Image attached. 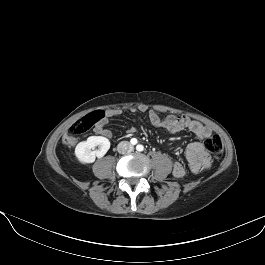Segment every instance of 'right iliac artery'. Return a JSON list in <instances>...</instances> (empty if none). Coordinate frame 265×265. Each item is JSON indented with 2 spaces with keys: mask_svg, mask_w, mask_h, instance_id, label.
Instances as JSON below:
<instances>
[{
  "mask_svg": "<svg viewBox=\"0 0 265 265\" xmlns=\"http://www.w3.org/2000/svg\"><path fill=\"white\" fill-rule=\"evenodd\" d=\"M137 143V139L136 138H132L131 139V144L135 145Z\"/></svg>",
  "mask_w": 265,
  "mask_h": 265,
  "instance_id": "right-iliac-artery-1",
  "label": "right iliac artery"
}]
</instances>
